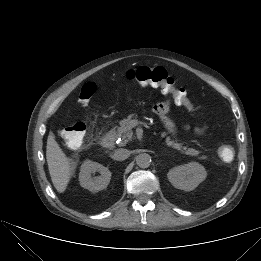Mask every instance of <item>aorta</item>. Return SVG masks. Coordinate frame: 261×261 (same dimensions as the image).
Instances as JSON below:
<instances>
[{"label":"aorta","instance_id":"obj_1","mask_svg":"<svg viewBox=\"0 0 261 261\" xmlns=\"http://www.w3.org/2000/svg\"><path fill=\"white\" fill-rule=\"evenodd\" d=\"M136 164L140 168H148L151 164V156L147 153H141L136 156Z\"/></svg>","mask_w":261,"mask_h":261}]
</instances>
